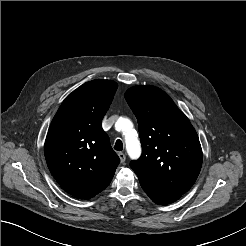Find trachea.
<instances>
[{"label": "trachea", "mask_w": 246, "mask_h": 246, "mask_svg": "<svg viewBox=\"0 0 246 246\" xmlns=\"http://www.w3.org/2000/svg\"><path fill=\"white\" fill-rule=\"evenodd\" d=\"M114 149L117 151H121L123 149V143L121 140H117L115 145H114Z\"/></svg>", "instance_id": "3493384b"}]
</instances>
